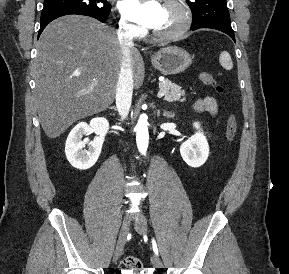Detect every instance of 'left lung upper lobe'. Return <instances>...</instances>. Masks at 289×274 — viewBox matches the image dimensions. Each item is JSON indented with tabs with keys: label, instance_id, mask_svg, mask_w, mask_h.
<instances>
[{
	"label": "left lung upper lobe",
	"instance_id": "1",
	"mask_svg": "<svg viewBox=\"0 0 289 274\" xmlns=\"http://www.w3.org/2000/svg\"><path fill=\"white\" fill-rule=\"evenodd\" d=\"M193 16L191 28L223 25L231 26L226 0H187Z\"/></svg>",
	"mask_w": 289,
	"mask_h": 274
}]
</instances>
